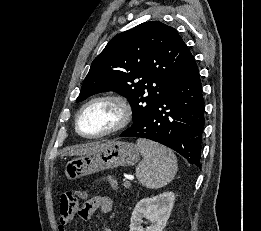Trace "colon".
I'll use <instances>...</instances> for the list:
<instances>
[{
    "instance_id": "5ec220e1",
    "label": "colon",
    "mask_w": 261,
    "mask_h": 231,
    "mask_svg": "<svg viewBox=\"0 0 261 231\" xmlns=\"http://www.w3.org/2000/svg\"><path fill=\"white\" fill-rule=\"evenodd\" d=\"M106 181L114 186L110 178H107ZM81 198L80 191H67L61 195V203L59 208V214L65 219H72L75 213L78 210L79 200Z\"/></svg>"
}]
</instances>
